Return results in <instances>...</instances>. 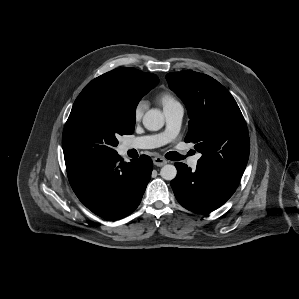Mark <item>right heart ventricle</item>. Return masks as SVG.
Wrapping results in <instances>:
<instances>
[{
  "label": "right heart ventricle",
  "instance_id": "1",
  "mask_svg": "<svg viewBox=\"0 0 299 299\" xmlns=\"http://www.w3.org/2000/svg\"><path fill=\"white\" fill-rule=\"evenodd\" d=\"M157 101L162 105L163 109L180 104L179 101L169 92H162L157 96Z\"/></svg>",
  "mask_w": 299,
  "mask_h": 299
}]
</instances>
